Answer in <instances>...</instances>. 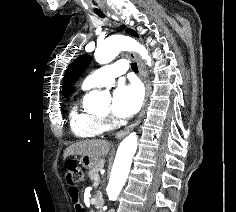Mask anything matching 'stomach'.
Listing matches in <instances>:
<instances>
[{
  "label": "stomach",
  "instance_id": "0dacf381",
  "mask_svg": "<svg viewBox=\"0 0 236 212\" xmlns=\"http://www.w3.org/2000/svg\"><path fill=\"white\" fill-rule=\"evenodd\" d=\"M99 158L90 156V155H82L80 158V164L85 169H92L98 164Z\"/></svg>",
  "mask_w": 236,
  "mask_h": 212
}]
</instances>
